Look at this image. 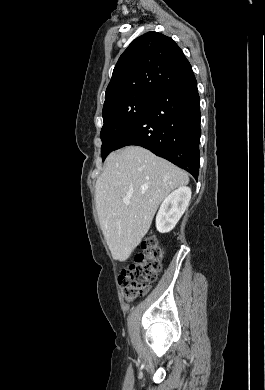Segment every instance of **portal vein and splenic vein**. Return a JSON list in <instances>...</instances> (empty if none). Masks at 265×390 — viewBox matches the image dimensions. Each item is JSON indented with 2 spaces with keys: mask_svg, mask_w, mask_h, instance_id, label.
<instances>
[{
  "mask_svg": "<svg viewBox=\"0 0 265 390\" xmlns=\"http://www.w3.org/2000/svg\"><path fill=\"white\" fill-rule=\"evenodd\" d=\"M123 202H124L125 204H129V203H130V200H129L128 198H124V199H123Z\"/></svg>",
  "mask_w": 265,
  "mask_h": 390,
  "instance_id": "portal-vein-and-splenic-vein-1",
  "label": "portal vein and splenic vein"
}]
</instances>
